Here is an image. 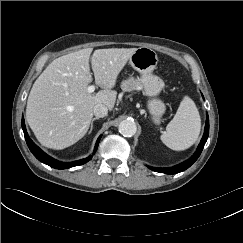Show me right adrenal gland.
Returning <instances> with one entry per match:
<instances>
[{
  "instance_id": "obj_1",
  "label": "right adrenal gland",
  "mask_w": 243,
  "mask_h": 243,
  "mask_svg": "<svg viewBox=\"0 0 243 243\" xmlns=\"http://www.w3.org/2000/svg\"><path fill=\"white\" fill-rule=\"evenodd\" d=\"M98 119H99L98 117H95V118L92 119L91 125H90V130H89L88 134H90L92 132V130H93V123H94L95 120H98Z\"/></svg>"
}]
</instances>
